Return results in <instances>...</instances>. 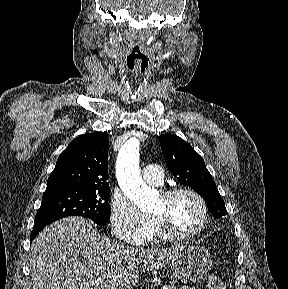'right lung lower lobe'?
<instances>
[{
	"label": "right lung lower lobe",
	"instance_id": "98d812e1",
	"mask_svg": "<svg viewBox=\"0 0 288 289\" xmlns=\"http://www.w3.org/2000/svg\"><path fill=\"white\" fill-rule=\"evenodd\" d=\"M47 225V224H46ZM46 225H39L34 226V229L31 232V240L35 238V236L46 226Z\"/></svg>",
	"mask_w": 288,
	"mask_h": 289
}]
</instances>
